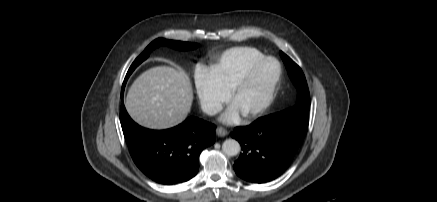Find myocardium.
Segmentation results:
<instances>
[{
    "mask_svg": "<svg viewBox=\"0 0 437 202\" xmlns=\"http://www.w3.org/2000/svg\"><path fill=\"white\" fill-rule=\"evenodd\" d=\"M267 62H274L276 64V74L272 80V82L270 83V86L268 88V91L264 97V99L262 100V102L253 110L248 111L244 114V117L246 119H253L256 118L260 115H262L268 108L269 106L272 104L276 92H277V88L279 86L280 80H281V76H282V66L280 64V62L271 56H265L255 62H253L248 69L245 71V73L241 76V78L236 82V84L234 85V87L231 90V99L234 101L235 98L239 95V93L248 85V83L252 80L254 74L256 73V71L258 70V68L260 66H262L263 64L267 63Z\"/></svg>",
    "mask_w": 437,
    "mask_h": 202,
    "instance_id": "1",
    "label": "myocardium"
}]
</instances>
